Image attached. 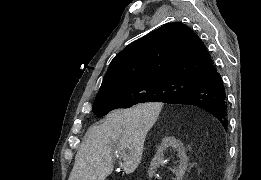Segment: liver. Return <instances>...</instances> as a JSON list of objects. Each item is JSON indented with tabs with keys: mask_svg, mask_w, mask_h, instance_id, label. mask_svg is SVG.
Masks as SVG:
<instances>
[{
	"mask_svg": "<svg viewBox=\"0 0 261 180\" xmlns=\"http://www.w3.org/2000/svg\"><path fill=\"white\" fill-rule=\"evenodd\" d=\"M157 110L158 104H138L128 110H113L103 122L94 124L75 156L69 180H106L118 158L124 160L123 172H135ZM125 148H129L127 154Z\"/></svg>",
	"mask_w": 261,
	"mask_h": 180,
	"instance_id": "6515ba94",
	"label": "liver"
}]
</instances>
